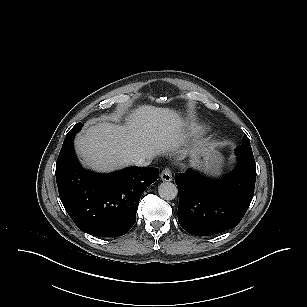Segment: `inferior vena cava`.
I'll list each match as a JSON object with an SVG mask.
<instances>
[{
	"label": "inferior vena cava",
	"instance_id": "1",
	"mask_svg": "<svg viewBox=\"0 0 307 307\" xmlns=\"http://www.w3.org/2000/svg\"><path fill=\"white\" fill-rule=\"evenodd\" d=\"M151 163L150 158H139L133 162L137 166H148Z\"/></svg>",
	"mask_w": 307,
	"mask_h": 307
}]
</instances>
